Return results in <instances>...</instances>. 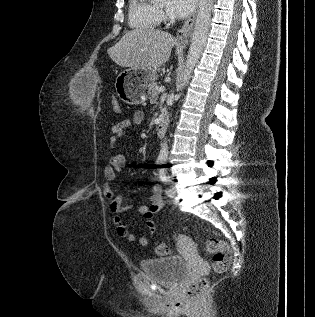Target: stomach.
<instances>
[{"label":"stomach","mask_w":315,"mask_h":317,"mask_svg":"<svg viewBox=\"0 0 315 317\" xmlns=\"http://www.w3.org/2000/svg\"><path fill=\"white\" fill-rule=\"evenodd\" d=\"M157 78L156 70L129 68L122 71L115 81L119 98L128 105L145 102Z\"/></svg>","instance_id":"0dacf381"}]
</instances>
